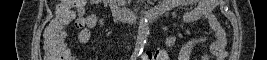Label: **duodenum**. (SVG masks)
Masks as SVG:
<instances>
[{
    "instance_id": "duodenum-1",
    "label": "duodenum",
    "mask_w": 267,
    "mask_h": 60,
    "mask_svg": "<svg viewBox=\"0 0 267 60\" xmlns=\"http://www.w3.org/2000/svg\"><path fill=\"white\" fill-rule=\"evenodd\" d=\"M106 3L110 4L113 16L117 19L127 18L136 21L141 18H151L158 20L162 13L166 11L163 7H154L146 10H135L131 7L121 5L118 0H107Z\"/></svg>"
}]
</instances>
